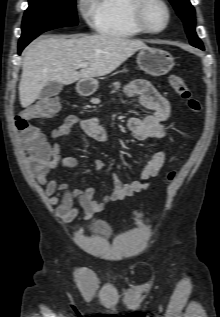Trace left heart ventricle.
<instances>
[{
	"label": "left heart ventricle",
	"mask_w": 220,
	"mask_h": 317,
	"mask_svg": "<svg viewBox=\"0 0 220 317\" xmlns=\"http://www.w3.org/2000/svg\"><path fill=\"white\" fill-rule=\"evenodd\" d=\"M146 19L151 27L160 29L166 22L165 10L161 5L151 3L146 10Z\"/></svg>",
	"instance_id": "left-heart-ventricle-1"
}]
</instances>
